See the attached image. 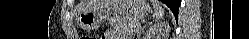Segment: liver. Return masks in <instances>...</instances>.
Here are the masks:
<instances>
[{"label":"liver","instance_id":"liver-1","mask_svg":"<svg viewBox=\"0 0 249 39\" xmlns=\"http://www.w3.org/2000/svg\"><path fill=\"white\" fill-rule=\"evenodd\" d=\"M121 3V0H87L80 8L81 11H85L97 6H113Z\"/></svg>","mask_w":249,"mask_h":39}]
</instances>
